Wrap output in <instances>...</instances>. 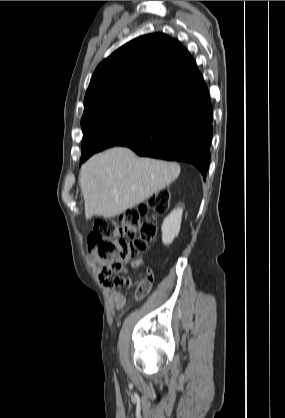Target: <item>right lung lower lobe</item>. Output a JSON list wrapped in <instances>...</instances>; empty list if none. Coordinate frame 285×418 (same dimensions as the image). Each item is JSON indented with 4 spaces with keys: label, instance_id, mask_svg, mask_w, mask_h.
<instances>
[{
    "label": "right lung lower lobe",
    "instance_id": "1",
    "mask_svg": "<svg viewBox=\"0 0 285 418\" xmlns=\"http://www.w3.org/2000/svg\"><path fill=\"white\" fill-rule=\"evenodd\" d=\"M213 107L205 85L175 102L151 125L117 146L140 156L194 165L203 176L210 163Z\"/></svg>",
    "mask_w": 285,
    "mask_h": 418
}]
</instances>
